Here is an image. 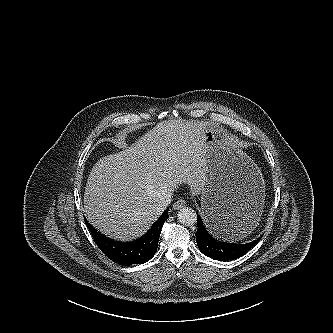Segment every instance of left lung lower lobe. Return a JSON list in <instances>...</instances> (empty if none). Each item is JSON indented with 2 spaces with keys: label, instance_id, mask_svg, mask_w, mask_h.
Instances as JSON below:
<instances>
[{
  "label": "left lung lower lobe",
  "instance_id": "0a47b994",
  "mask_svg": "<svg viewBox=\"0 0 333 333\" xmlns=\"http://www.w3.org/2000/svg\"><path fill=\"white\" fill-rule=\"evenodd\" d=\"M197 224L198 228L195 236L199 250L203 254L219 261H230L243 256L261 239V237H259L250 243L241 245L226 243L213 238L208 233L200 216L197 217Z\"/></svg>",
  "mask_w": 333,
  "mask_h": 333
}]
</instances>
